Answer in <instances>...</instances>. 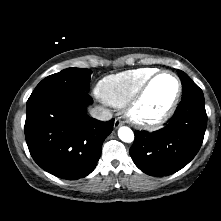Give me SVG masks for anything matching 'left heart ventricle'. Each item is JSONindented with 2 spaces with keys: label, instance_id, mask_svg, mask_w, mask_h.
<instances>
[{
  "label": "left heart ventricle",
  "instance_id": "left-heart-ventricle-1",
  "mask_svg": "<svg viewBox=\"0 0 221 221\" xmlns=\"http://www.w3.org/2000/svg\"><path fill=\"white\" fill-rule=\"evenodd\" d=\"M177 85L170 75H161L149 88L139 107V114L145 117H155L162 113L171 103Z\"/></svg>",
  "mask_w": 221,
  "mask_h": 221
}]
</instances>
